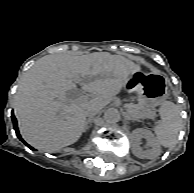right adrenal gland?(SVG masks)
I'll use <instances>...</instances> for the list:
<instances>
[{
	"label": "right adrenal gland",
	"instance_id": "right-adrenal-gland-1",
	"mask_svg": "<svg viewBox=\"0 0 194 193\" xmlns=\"http://www.w3.org/2000/svg\"><path fill=\"white\" fill-rule=\"evenodd\" d=\"M92 120H93V118H90V119H88L86 121V128H85V130H89L90 129V127L92 125Z\"/></svg>",
	"mask_w": 194,
	"mask_h": 193
}]
</instances>
